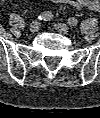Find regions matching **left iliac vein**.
Masks as SVG:
<instances>
[{"label": "left iliac vein", "mask_w": 100, "mask_h": 118, "mask_svg": "<svg viewBox=\"0 0 100 118\" xmlns=\"http://www.w3.org/2000/svg\"><path fill=\"white\" fill-rule=\"evenodd\" d=\"M55 30L61 34H68L69 32V27L66 24H62V23H57L54 25Z\"/></svg>", "instance_id": "obj_1"}]
</instances>
